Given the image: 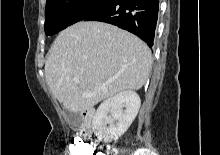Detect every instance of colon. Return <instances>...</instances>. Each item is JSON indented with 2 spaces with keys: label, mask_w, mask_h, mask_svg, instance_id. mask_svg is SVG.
Instances as JSON below:
<instances>
[{
  "label": "colon",
  "mask_w": 220,
  "mask_h": 155,
  "mask_svg": "<svg viewBox=\"0 0 220 155\" xmlns=\"http://www.w3.org/2000/svg\"><path fill=\"white\" fill-rule=\"evenodd\" d=\"M96 143H83L80 139H73L70 143V155H96Z\"/></svg>",
  "instance_id": "colon-1"
}]
</instances>
